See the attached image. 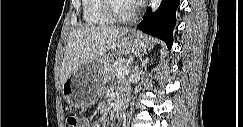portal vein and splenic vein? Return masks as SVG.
<instances>
[{
	"label": "portal vein and splenic vein",
	"mask_w": 243,
	"mask_h": 127,
	"mask_svg": "<svg viewBox=\"0 0 243 127\" xmlns=\"http://www.w3.org/2000/svg\"><path fill=\"white\" fill-rule=\"evenodd\" d=\"M118 75H128L130 71L127 68H119L117 69Z\"/></svg>",
	"instance_id": "18ae733b"
}]
</instances>
